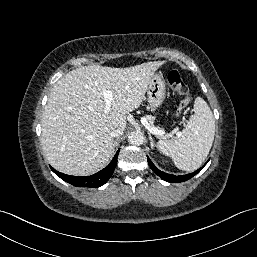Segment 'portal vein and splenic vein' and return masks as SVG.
Listing matches in <instances>:
<instances>
[{"label":"portal vein and splenic vein","mask_w":257,"mask_h":257,"mask_svg":"<svg viewBox=\"0 0 257 257\" xmlns=\"http://www.w3.org/2000/svg\"><path fill=\"white\" fill-rule=\"evenodd\" d=\"M101 95L103 96V99L105 101L104 112L108 113V112H110V109H111V102L113 100V94H112L111 90H107V91H103L101 93ZM142 124L148 129V131H150L154 135H163L164 134V131L159 130L155 127H152L150 124H148V122L145 118L142 119Z\"/></svg>","instance_id":"18ae733b"}]
</instances>
